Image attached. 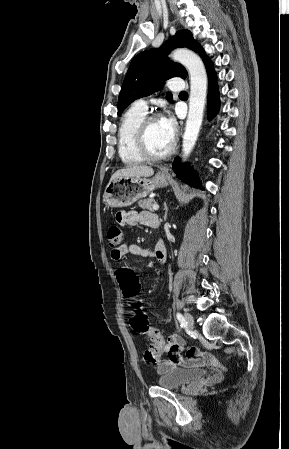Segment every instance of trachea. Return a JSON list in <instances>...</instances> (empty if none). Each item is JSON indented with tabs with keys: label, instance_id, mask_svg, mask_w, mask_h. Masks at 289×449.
<instances>
[{
	"label": "trachea",
	"instance_id": "obj_1",
	"mask_svg": "<svg viewBox=\"0 0 289 449\" xmlns=\"http://www.w3.org/2000/svg\"><path fill=\"white\" fill-rule=\"evenodd\" d=\"M180 94H187L186 91H182Z\"/></svg>",
	"mask_w": 289,
	"mask_h": 449
}]
</instances>
